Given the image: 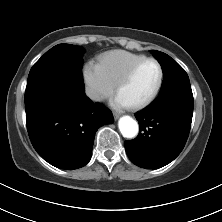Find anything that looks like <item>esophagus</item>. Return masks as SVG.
Returning a JSON list of instances; mask_svg holds the SVG:
<instances>
[{
	"label": "esophagus",
	"mask_w": 222,
	"mask_h": 222,
	"mask_svg": "<svg viewBox=\"0 0 222 222\" xmlns=\"http://www.w3.org/2000/svg\"><path fill=\"white\" fill-rule=\"evenodd\" d=\"M113 116H114L115 120H117L120 117V115L118 113H114Z\"/></svg>",
	"instance_id": "esophagus-1"
}]
</instances>
